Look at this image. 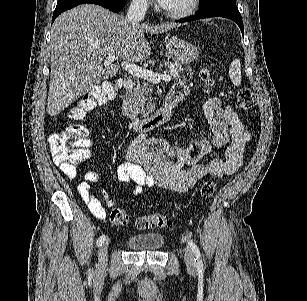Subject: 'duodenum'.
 <instances>
[{
	"label": "duodenum",
	"mask_w": 307,
	"mask_h": 301,
	"mask_svg": "<svg viewBox=\"0 0 307 301\" xmlns=\"http://www.w3.org/2000/svg\"><path fill=\"white\" fill-rule=\"evenodd\" d=\"M123 88L124 94L121 105L122 113L138 132L150 131L168 122L171 119L175 108L183 99L181 95L170 91L163 105L153 115L141 118L135 113L131 105V92L134 88V81L130 78L125 79L123 81Z\"/></svg>",
	"instance_id": "1"
}]
</instances>
